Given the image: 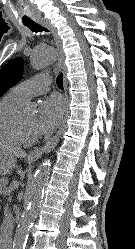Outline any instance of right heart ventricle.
<instances>
[{"label": "right heart ventricle", "instance_id": "right-heart-ventricle-1", "mask_svg": "<svg viewBox=\"0 0 135 249\" xmlns=\"http://www.w3.org/2000/svg\"><path fill=\"white\" fill-rule=\"evenodd\" d=\"M24 101L10 91L0 100V144L19 145L22 139L15 131L13 120Z\"/></svg>", "mask_w": 135, "mask_h": 249}]
</instances>
